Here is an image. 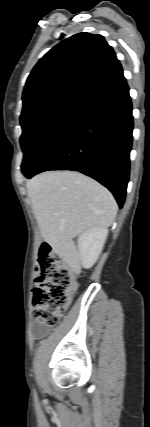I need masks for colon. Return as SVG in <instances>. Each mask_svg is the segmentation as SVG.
<instances>
[{"instance_id":"1","label":"colon","mask_w":150,"mask_h":427,"mask_svg":"<svg viewBox=\"0 0 150 427\" xmlns=\"http://www.w3.org/2000/svg\"><path fill=\"white\" fill-rule=\"evenodd\" d=\"M78 286V274L73 268L48 244H42L32 298V314L36 322L48 327L57 325L70 306Z\"/></svg>"}]
</instances>
